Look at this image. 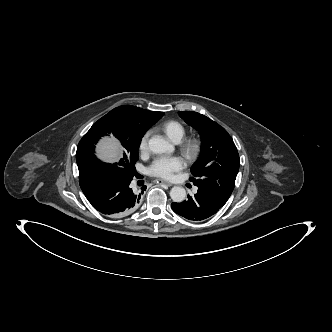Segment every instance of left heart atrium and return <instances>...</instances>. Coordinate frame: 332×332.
<instances>
[{
  "mask_svg": "<svg viewBox=\"0 0 332 332\" xmlns=\"http://www.w3.org/2000/svg\"><path fill=\"white\" fill-rule=\"evenodd\" d=\"M184 166L185 163L179 156H162L154 160L149 167V173L155 177L170 179L176 172L182 170Z\"/></svg>",
  "mask_w": 332,
  "mask_h": 332,
  "instance_id": "obj_1",
  "label": "left heart atrium"
}]
</instances>
